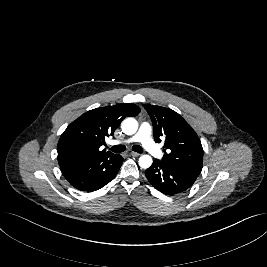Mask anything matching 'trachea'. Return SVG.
<instances>
[{"label":"trachea","mask_w":267,"mask_h":267,"mask_svg":"<svg viewBox=\"0 0 267 267\" xmlns=\"http://www.w3.org/2000/svg\"><path fill=\"white\" fill-rule=\"evenodd\" d=\"M110 150L113 151L114 153H121V152L126 150V147L124 145H115ZM132 150L137 152V153L143 152V148L139 145L133 146Z\"/></svg>","instance_id":"1"}]
</instances>
